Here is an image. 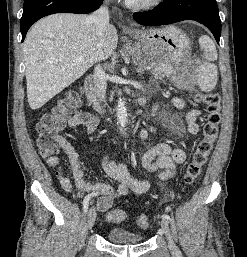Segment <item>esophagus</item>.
Listing matches in <instances>:
<instances>
[{"label": "esophagus", "mask_w": 247, "mask_h": 257, "mask_svg": "<svg viewBox=\"0 0 247 257\" xmlns=\"http://www.w3.org/2000/svg\"><path fill=\"white\" fill-rule=\"evenodd\" d=\"M128 30H131V31H133L134 29L129 27V28H128Z\"/></svg>", "instance_id": "esophagus-1"}]
</instances>
